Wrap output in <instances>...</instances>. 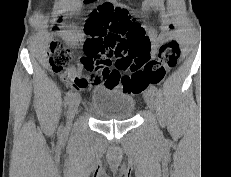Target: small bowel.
<instances>
[{
  "label": "small bowel",
  "mask_w": 231,
  "mask_h": 177,
  "mask_svg": "<svg viewBox=\"0 0 231 177\" xmlns=\"http://www.w3.org/2000/svg\"><path fill=\"white\" fill-rule=\"evenodd\" d=\"M153 1V0H148ZM107 3L112 4L115 7L122 8L126 10L129 14L128 9L117 3L116 0H108ZM161 23L165 25L167 23V17L161 15ZM142 31L146 36L151 40L150 42V55L155 57L160 48L162 38L156 34L155 31L139 25ZM80 66L87 71L86 75H79L74 70L69 69L60 74L63 81L67 84L74 86L76 89H83L91 83H98L101 79L105 81V84L108 86H116L117 84L112 83L108 78L103 74V69L96 65L95 61L87 58L86 56L79 59Z\"/></svg>",
  "instance_id": "obj_1"
}]
</instances>
